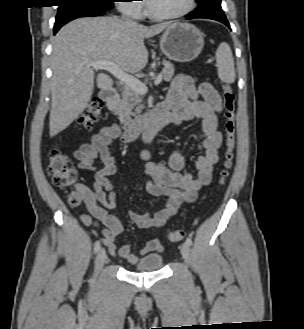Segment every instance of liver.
<instances>
[{
	"label": "liver",
	"mask_w": 304,
	"mask_h": 329,
	"mask_svg": "<svg viewBox=\"0 0 304 329\" xmlns=\"http://www.w3.org/2000/svg\"><path fill=\"white\" fill-rule=\"evenodd\" d=\"M169 24L146 27L113 17L71 21L53 39V71L49 130L54 137L87 107L94 89V71L88 62L111 61L126 73L141 71L148 62L144 39L161 33ZM97 86L109 89L110 76L100 73Z\"/></svg>",
	"instance_id": "liver-1"
}]
</instances>
